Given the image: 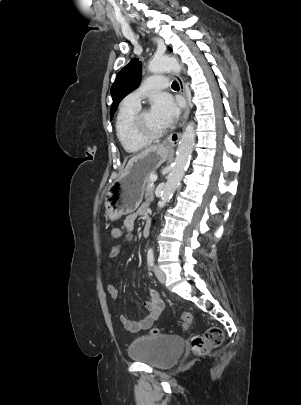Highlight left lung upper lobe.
Here are the masks:
<instances>
[{"label":"left lung upper lobe","mask_w":301,"mask_h":405,"mask_svg":"<svg viewBox=\"0 0 301 405\" xmlns=\"http://www.w3.org/2000/svg\"><path fill=\"white\" fill-rule=\"evenodd\" d=\"M171 50V48H169ZM141 62L138 59H132L117 75L112 87L111 95L113 103L110 110L112 119L117 110L119 102L140 84Z\"/></svg>","instance_id":"5c2ea615"}]
</instances>
